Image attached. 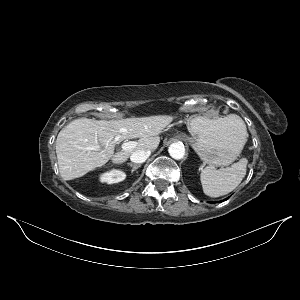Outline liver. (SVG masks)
Wrapping results in <instances>:
<instances>
[{"instance_id":"1","label":"liver","mask_w":300,"mask_h":300,"mask_svg":"<svg viewBox=\"0 0 300 300\" xmlns=\"http://www.w3.org/2000/svg\"><path fill=\"white\" fill-rule=\"evenodd\" d=\"M231 117V116H229ZM168 116H150L121 120L79 118L71 121L58 134L56 155L64 180L82 177L109 160L122 164L138 149L154 151L160 143L159 134L169 125ZM139 138L130 151L114 153L116 143Z\"/></svg>"}]
</instances>
